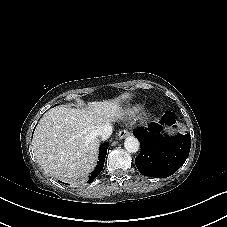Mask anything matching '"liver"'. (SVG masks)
<instances>
[{"label":"liver","mask_w":227,"mask_h":227,"mask_svg":"<svg viewBox=\"0 0 227 227\" xmlns=\"http://www.w3.org/2000/svg\"><path fill=\"white\" fill-rule=\"evenodd\" d=\"M127 98L129 93L113 100L90 102L84 109L59 106L47 111L32 141L35 158L43 170L67 181L87 177L98 159L96 129L121 118V101Z\"/></svg>","instance_id":"1"}]
</instances>
